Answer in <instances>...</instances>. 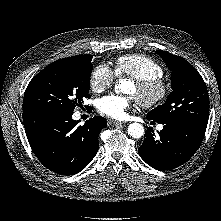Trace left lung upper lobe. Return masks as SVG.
I'll return each mask as SVG.
<instances>
[{
  "mask_svg": "<svg viewBox=\"0 0 221 221\" xmlns=\"http://www.w3.org/2000/svg\"><path fill=\"white\" fill-rule=\"evenodd\" d=\"M171 71L172 92L163 105L151 110L147 117L163 124L191 123L207 126L209 96L199 72L185 59L157 50Z\"/></svg>",
  "mask_w": 221,
  "mask_h": 221,
  "instance_id": "1",
  "label": "left lung upper lobe"
}]
</instances>
